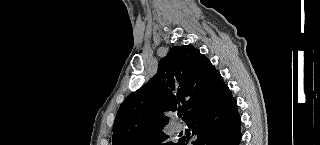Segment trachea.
<instances>
[{
    "instance_id": "trachea-1",
    "label": "trachea",
    "mask_w": 320,
    "mask_h": 145,
    "mask_svg": "<svg viewBox=\"0 0 320 145\" xmlns=\"http://www.w3.org/2000/svg\"><path fill=\"white\" fill-rule=\"evenodd\" d=\"M183 115V111L178 112V117H181Z\"/></svg>"
}]
</instances>
